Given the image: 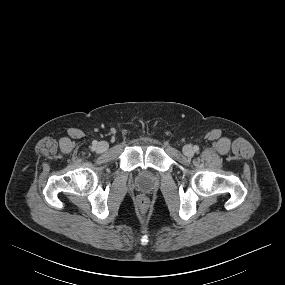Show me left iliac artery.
Returning <instances> with one entry per match:
<instances>
[{
  "label": "left iliac artery",
  "instance_id": "obj_1",
  "mask_svg": "<svg viewBox=\"0 0 285 285\" xmlns=\"http://www.w3.org/2000/svg\"><path fill=\"white\" fill-rule=\"evenodd\" d=\"M198 150H199V147L195 145V146H194V151L197 152Z\"/></svg>",
  "mask_w": 285,
  "mask_h": 285
}]
</instances>
